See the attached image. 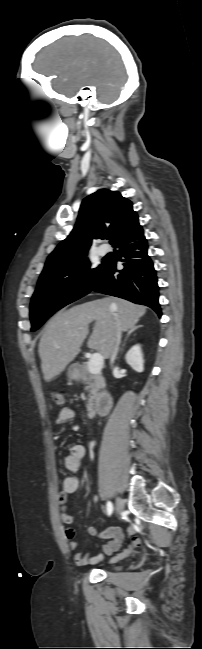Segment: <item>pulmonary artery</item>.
Listing matches in <instances>:
<instances>
[{
	"label": "pulmonary artery",
	"instance_id": "pulmonary-artery-1",
	"mask_svg": "<svg viewBox=\"0 0 202 649\" xmlns=\"http://www.w3.org/2000/svg\"><path fill=\"white\" fill-rule=\"evenodd\" d=\"M98 252H99V254H100L101 256H104V255H106V254L109 252V248H108V246H106V245H101V246H99V248H98Z\"/></svg>",
	"mask_w": 202,
	"mask_h": 649
}]
</instances>
